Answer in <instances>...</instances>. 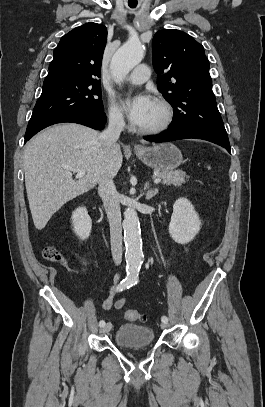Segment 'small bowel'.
<instances>
[{
    "label": "small bowel",
    "mask_w": 265,
    "mask_h": 407,
    "mask_svg": "<svg viewBox=\"0 0 265 407\" xmlns=\"http://www.w3.org/2000/svg\"><path fill=\"white\" fill-rule=\"evenodd\" d=\"M119 279H120V276H117L115 279V284L111 287L109 296L102 303V308L104 310H109L112 307H114L115 309H121L126 303L125 298H121L117 301L114 300V296H115V293H116L117 287H118L117 283H118Z\"/></svg>",
    "instance_id": "small-bowel-1"
}]
</instances>
